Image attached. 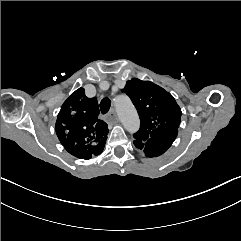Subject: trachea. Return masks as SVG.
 <instances>
[{
    "label": "trachea",
    "instance_id": "obj_1",
    "mask_svg": "<svg viewBox=\"0 0 241 241\" xmlns=\"http://www.w3.org/2000/svg\"><path fill=\"white\" fill-rule=\"evenodd\" d=\"M111 105V101L109 98H103L100 102V110L102 114H105L109 111Z\"/></svg>",
    "mask_w": 241,
    "mask_h": 241
}]
</instances>
